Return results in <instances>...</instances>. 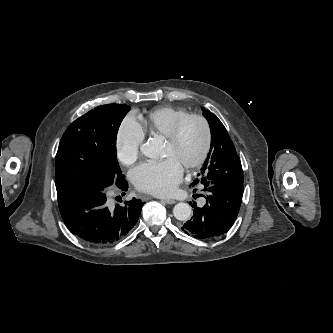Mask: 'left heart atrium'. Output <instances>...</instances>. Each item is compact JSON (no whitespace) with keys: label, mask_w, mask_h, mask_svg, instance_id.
I'll return each mask as SVG.
<instances>
[{"label":"left heart atrium","mask_w":333,"mask_h":333,"mask_svg":"<svg viewBox=\"0 0 333 333\" xmlns=\"http://www.w3.org/2000/svg\"><path fill=\"white\" fill-rule=\"evenodd\" d=\"M183 175L182 166L171 157L163 161L141 163L131 170L133 185L142 192L166 196L171 194L180 183Z\"/></svg>","instance_id":"left-heart-atrium-1"}]
</instances>
